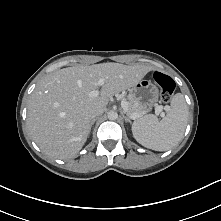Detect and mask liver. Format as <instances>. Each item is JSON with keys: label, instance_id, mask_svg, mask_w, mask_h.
Listing matches in <instances>:
<instances>
[{"label": "liver", "instance_id": "obj_1", "mask_svg": "<svg viewBox=\"0 0 221 221\" xmlns=\"http://www.w3.org/2000/svg\"><path fill=\"white\" fill-rule=\"evenodd\" d=\"M152 67L101 63L63 68L47 75L30 96L27 111L29 132L48 156L62 160L76 157L85 144L92 112L105 109L114 94L133 87ZM105 80L100 94L89 93Z\"/></svg>", "mask_w": 221, "mask_h": 221}]
</instances>
